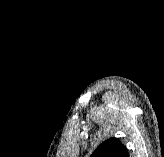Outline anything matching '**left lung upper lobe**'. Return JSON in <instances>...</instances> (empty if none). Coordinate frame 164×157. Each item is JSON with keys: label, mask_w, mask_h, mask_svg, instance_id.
Segmentation results:
<instances>
[{"label": "left lung upper lobe", "mask_w": 164, "mask_h": 157, "mask_svg": "<svg viewBox=\"0 0 164 157\" xmlns=\"http://www.w3.org/2000/svg\"><path fill=\"white\" fill-rule=\"evenodd\" d=\"M91 157H128V150L117 138H110L100 144Z\"/></svg>", "instance_id": "1"}]
</instances>
